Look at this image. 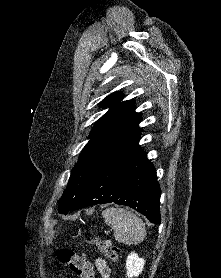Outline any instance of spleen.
<instances>
[{"label":"spleen","mask_w":221,"mask_h":278,"mask_svg":"<svg viewBox=\"0 0 221 278\" xmlns=\"http://www.w3.org/2000/svg\"><path fill=\"white\" fill-rule=\"evenodd\" d=\"M102 216L105 223L114 229V237L118 242L131 245L145 238V224L132 212L120 207H110L102 212Z\"/></svg>","instance_id":"obj_1"}]
</instances>
